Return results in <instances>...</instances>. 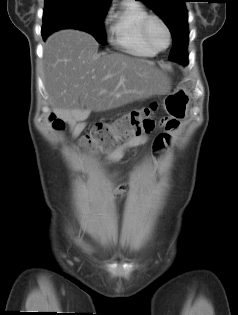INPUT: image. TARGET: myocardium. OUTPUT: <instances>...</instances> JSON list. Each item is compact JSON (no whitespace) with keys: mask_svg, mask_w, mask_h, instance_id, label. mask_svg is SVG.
<instances>
[{"mask_svg":"<svg viewBox=\"0 0 238 315\" xmlns=\"http://www.w3.org/2000/svg\"><path fill=\"white\" fill-rule=\"evenodd\" d=\"M158 22L162 25V27L164 28L166 34H167V44L165 47H158L156 46L153 41L151 40L150 38V35H149V28H150V25L152 22ZM142 35H143V38L144 40L146 41V43L151 47L153 48L154 50H156L157 52H160V51H164L166 50L171 42H172V35H171V31H170V28L168 26V24L166 23V21L158 16V15H149L143 22L142 24Z\"/></svg>","mask_w":238,"mask_h":315,"instance_id":"obj_1","label":"myocardium"}]
</instances>
